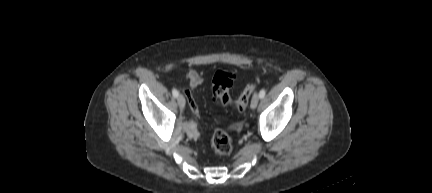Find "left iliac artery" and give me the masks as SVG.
<instances>
[{
    "mask_svg": "<svg viewBox=\"0 0 432 193\" xmlns=\"http://www.w3.org/2000/svg\"><path fill=\"white\" fill-rule=\"evenodd\" d=\"M265 94H266L265 89H262V90L259 92V97H260V98H264Z\"/></svg>",
    "mask_w": 432,
    "mask_h": 193,
    "instance_id": "1",
    "label": "left iliac artery"
}]
</instances>
